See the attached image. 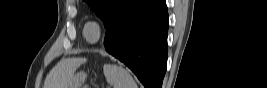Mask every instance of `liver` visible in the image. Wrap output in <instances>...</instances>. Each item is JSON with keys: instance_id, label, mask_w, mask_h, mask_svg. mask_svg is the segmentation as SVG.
<instances>
[{"instance_id": "1", "label": "liver", "mask_w": 267, "mask_h": 88, "mask_svg": "<svg viewBox=\"0 0 267 88\" xmlns=\"http://www.w3.org/2000/svg\"><path fill=\"white\" fill-rule=\"evenodd\" d=\"M82 62L81 58L62 59L47 74L44 88H67L74 72Z\"/></svg>"}]
</instances>
